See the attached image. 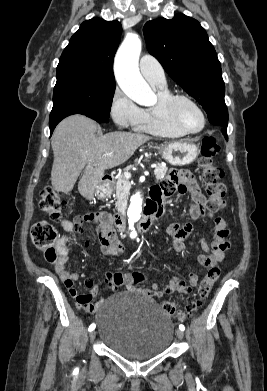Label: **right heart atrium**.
<instances>
[{
	"instance_id": "right-heart-atrium-1",
	"label": "right heart atrium",
	"mask_w": 267,
	"mask_h": 391,
	"mask_svg": "<svg viewBox=\"0 0 267 391\" xmlns=\"http://www.w3.org/2000/svg\"><path fill=\"white\" fill-rule=\"evenodd\" d=\"M109 110L112 120L121 129L134 128L142 112V109L120 89L115 90Z\"/></svg>"
}]
</instances>
